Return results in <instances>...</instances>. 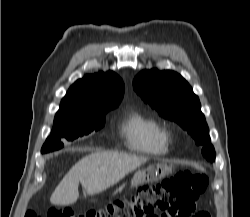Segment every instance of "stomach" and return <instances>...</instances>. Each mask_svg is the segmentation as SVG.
I'll list each match as a JSON object with an SVG mask.
<instances>
[{
	"instance_id": "1",
	"label": "stomach",
	"mask_w": 250,
	"mask_h": 217,
	"mask_svg": "<svg viewBox=\"0 0 250 217\" xmlns=\"http://www.w3.org/2000/svg\"><path fill=\"white\" fill-rule=\"evenodd\" d=\"M171 171L170 167L166 164H154L146 168L139 169L134 174L132 179V186H138L144 183L158 181Z\"/></svg>"
}]
</instances>
